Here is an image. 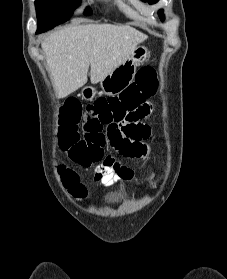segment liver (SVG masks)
<instances>
[{
  "label": "liver",
  "instance_id": "6515ba94",
  "mask_svg": "<svg viewBox=\"0 0 227 279\" xmlns=\"http://www.w3.org/2000/svg\"><path fill=\"white\" fill-rule=\"evenodd\" d=\"M147 36L130 25L82 24L62 28L41 43L54 89L64 98L96 84L123 63Z\"/></svg>",
  "mask_w": 227,
  "mask_h": 279
}]
</instances>
